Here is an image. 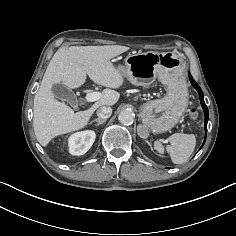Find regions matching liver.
I'll return each mask as SVG.
<instances>
[{"mask_svg": "<svg viewBox=\"0 0 236 236\" xmlns=\"http://www.w3.org/2000/svg\"><path fill=\"white\" fill-rule=\"evenodd\" d=\"M128 50L129 47L121 45L71 46L54 54L34 97L33 127L42 146H47L56 136L83 129L96 109L117 103L120 94L113 89L123 85L124 76L110 60ZM86 75L107 89L89 109L74 112L55 98L52 86L63 83L75 89L85 83Z\"/></svg>", "mask_w": 236, "mask_h": 236, "instance_id": "liver-1", "label": "liver"}]
</instances>
